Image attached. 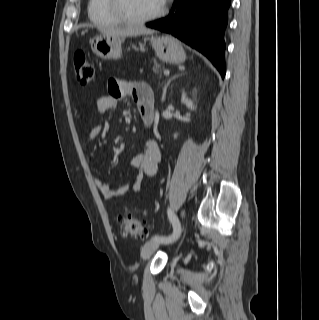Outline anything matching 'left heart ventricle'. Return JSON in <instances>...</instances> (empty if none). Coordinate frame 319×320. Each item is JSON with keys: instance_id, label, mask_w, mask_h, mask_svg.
Instances as JSON below:
<instances>
[{"instance_id": "b2bd125f", "label": "left heart ventricle", "mask_w": 319, "mask_h": 320, "mask_svg": "<svg viewBox=\"0 0 319 320\" xmlns=\"http://www.w3.org/2000/svg\"><path fill=\"white\" fill-rule=\"evenodd\" d=\"M161 5V0H124L126 11L134 17L149 16L155 13Z\"/></svg>"}]
</instances>
